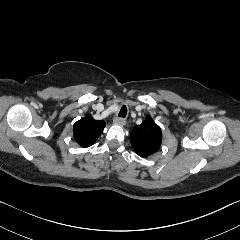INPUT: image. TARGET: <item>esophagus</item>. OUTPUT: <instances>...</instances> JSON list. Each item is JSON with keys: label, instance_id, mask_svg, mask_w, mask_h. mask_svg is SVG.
Returning a JSON list of instances; mask_svg holds the SVG:
<instances>
[{"label": "esophagus", "instance_id": "esophagus-1", "mask_svg": "<svg viewBox=\"0 0 240 240\" xmlns=\"http://www.w3.org/2000/svg\"><path fill=\"white\" fill-rule=\"evenodd\" d=\"M114 124L124 126L126 124V121L124 118H114L113 120Z\"/></svg>", "mask_w": 240, "mask_h": 240}]
</instances>
